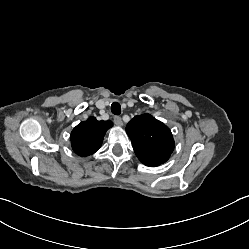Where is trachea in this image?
Instances as JSON below:
<instances>
[{
	"instance_id": "obj_1",
	"label": "trachea",
	"mask_w": 249,
	"mask_h": 249,
	"mask_svg": "<svg viewBox=\"0 0 249 249\" xmlns=\"http://www.w3.org/2000/svg\"><path fill=\"white\" fill-rule=\"evenodd\" d=\"M111 112L114 115H119L121 113V106H120V104L118 102L112 103V105H111Z\"/></svg>"
}]
</instances>
